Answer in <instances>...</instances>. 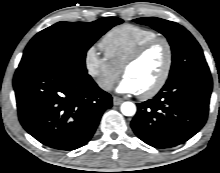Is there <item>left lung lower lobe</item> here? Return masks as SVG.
Masks as SVG:
<instances>
[{
	"label": "left lung lower lobe",
	"mask_w": 220,
	"mask_h": 173,
	"mask_svg": "<svg viewBox=\"0 0 220 173\" xmlns=\"http://www.w3.org/2000/svg\"><path fill=\"white\" fill-rule=\"evenodd\" d=\"M212 91L210 75L166 84L151 100L137 103L134 133L155 148H171L193 137L205 124Z\"/></svg>",
	"instance_id": "left-lung-lower-lobe-1"
}]
</instances>
